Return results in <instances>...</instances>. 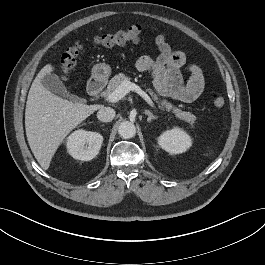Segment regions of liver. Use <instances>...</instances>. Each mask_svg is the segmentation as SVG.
Segmentation results:
<instances>
[{
	"label": "liver",
	"instance_id": "1",
	"mask_svg": "<svg viewBox=\"0 0 265 265\" xmlns=\"http://www.w3.org/2000/svg\"><path fill=\"white\" fill-rule=\"evenodd\" d=\"M45 65L34 79L25 109L26 136L36 160L47 170L65 137L100 105H86L63 99L43 86L41 80L54 71Z\"/></svg>",
	"mask_w": 265,
	"mask_h": 265
}]
</instances>
